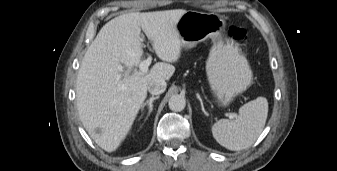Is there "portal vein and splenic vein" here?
Masks as SVG:
<instances>
[{
  "label": "portal vein and splenic vein",
  "instance_id": "1",
  "mask_svg": "<svg viewBox=\"0 0 337 171\" xmlns=\"http://www.w3.org/2000/svg\"><path fill=\"white\" fill-rule=\"evenodd\" d=\"M151 60L152 58L149 56L147 59L143 60L140 64H139V74H146L148 72V67L151 64ZM120 69H122L123 67L120 65L119 66ZM235 117L234 114H230L229 118L233 119Z\"/></svg>",
  "mask_w": 337,
  "mask_h": 171
}]
</instances>
